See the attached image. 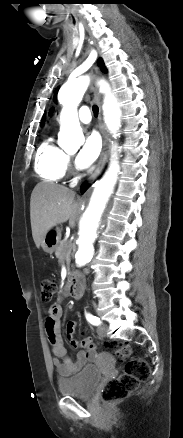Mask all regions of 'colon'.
<instances>
[{
  "label": "colon",
  "mask_w": 183,
  "mask_h": 438,
  "mask_svg": "<svg viewBox=\"0 0 183 438\" xmlns=\"http://www.w3.org/2000/svg\"><path fill=\"white\" fill-rule=\"evenodd\" d=\"M56 290V283L49 278L41 282L42 300L48 302ZM111 349L119 360L126 361L124 371L119 376L105 382L101 398L104 402H113L127 397L134 392L141 382L148 379L150 368L147 361L141 357H131L132 351L128 344L117 341H106L103 344Z\"/></svg>",
  "instance_id": "colon-1"
}]
</instances>
